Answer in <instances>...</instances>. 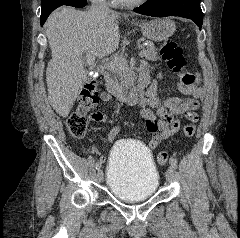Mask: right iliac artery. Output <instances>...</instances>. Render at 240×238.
Listing matches in <instances>:
<instances>
[{
    "mask_svg": "<svg viewBox=\"0 0 240 238\" xmlns=\"http://www.w3.org/2000/svg\"><path fill=\"white\" fill-rule=\"evenodd\" d=\"M95 168H96L97 170H99V169L101 168V163H100V162H97V163L95 164Z\"/></svg>",
    "mask_w": 240,
    "mask_h": 238,
    "instance_id": "right-iliac-artery-1",
    "label": "right iliac artery"
}]
</instances>
